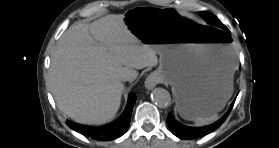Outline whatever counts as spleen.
Wrapping results in <instances>:
<instances>
[{"mask_svg":"<svg viewBox=\"0 0 279 148\" xmlns=\"http://www.w3.org/2000/svg\"><path fill=\"white\" fill-rule=\"evenodd\" d=\"M232 55H233V52H232ZM232 87H233V85H232ZM232 92H233V88H232ZM217 119H218V115L214 114V115H212L210 117H197V118H193V121L195 122L196 125L203 126V125H208V124L216 121Z\"/></svg>","mask_w":279,"mask_h":148,"instance_id":"spleen-1","label":"spleen"}]
</instances>
